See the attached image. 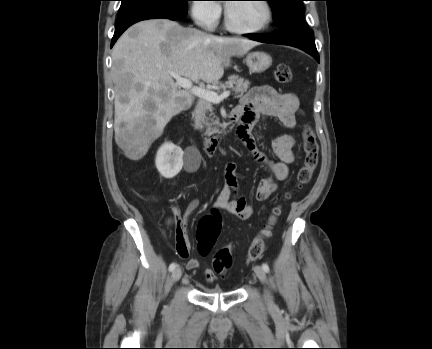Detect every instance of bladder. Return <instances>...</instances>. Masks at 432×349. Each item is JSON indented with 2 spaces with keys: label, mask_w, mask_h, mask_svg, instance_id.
Returning <instances> with one entry per match:
<instances>
[{
  "label": "bladder",
  "mask_w": 432,
  "mask_h": 349,
  "mask_svg": "<svg viewBox=\"0 0 432 349\" xmlns=\"http://www.w3.org/2000/svg\"><path fill=\"white\" fill-rule=\"evenodd\" d=\"M204 290L210 293H219L222 291L220 288H205Z\"/></svg>",
  "instance_id": "1"
}]
</instances>
